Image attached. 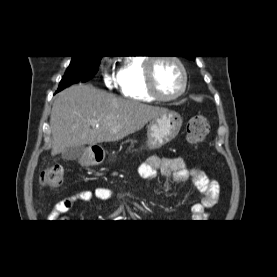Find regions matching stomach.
I'll return each instance as SVG.
<instances>
[{"mask_svg":"<svg viewBox=\"0 0 277 277\" xmlns=\"http://www.w3.org/2000/svg\"><path fill=\"white\" fill-rule=\"evenodd\" d=\"M180 114L168 111L152 119L147 126V146L157 149L174 139L182 126Z\"/></svg>","mask_w":277,"mask_h":277,"instance_id":"stomach-1","label":"stomach"}]
</instances>
